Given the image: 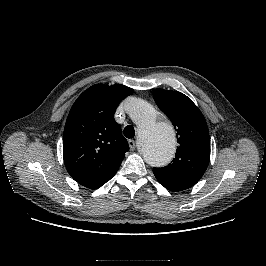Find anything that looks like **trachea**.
<instances>
[{
  "label": "trachea",
  "instance_id": "trachea-1",
  "mask_svg": "<svg viewBox=\"0 0 266 266\" xmlns=\"http://www.w3.org/2000/svg\"><path fill=\"white\" fill-rule=\"evenodd\" d=\"M135 135V130L133 126H126L124 129V136L126 138H133Z\"/></svg>",
  "mask_w": 266,
  "mask_h": 266
}]
</instances>
